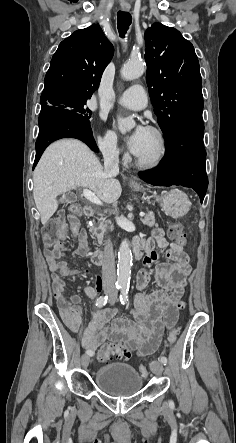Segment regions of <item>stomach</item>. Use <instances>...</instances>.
I'll use <instances>...</instances> for the list:
<instances>
[{
    "label": "stomach",
    "mask_w": 236,
    "mask_h": 443,
    "mask_svg": "<svg viewBox=\"0 0 236 443\" xmlns=\"http://www.w3.org/2000/svg\"><path fill=\"white\" fill-rule=\"evenodd\" d=\"M166 214L173 218L184 216L190 209V201L187 195L178 190L173 189L157 199Z\"/></svg>",
    "instance_id": "obj_1"
}]
</instances>
